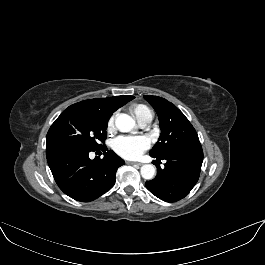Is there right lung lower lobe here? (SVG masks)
I'll return each instance as SVG.
<instances>
[{
	"mask_svg": "<svg viewBox=\"0 0 265 265\" xmlns=\"http://www.w3.org/2000/svg\"><path fill=\"white\" fill-rule=\"evenodd\" d=\"M100 149L104 158L95 157L93 160L89 158V153L96 150L70 147L46 149L53 177L66 195L77 201L89 202L113 187L117 169L124 161L105 146Z\"/></svg>",
	"mask_w": 265,
	"mask_h": 265,
	"instance_id": "right-lung-lower-lobe-1",
	"label": "right lung lower lobe"
}]
</instances>
